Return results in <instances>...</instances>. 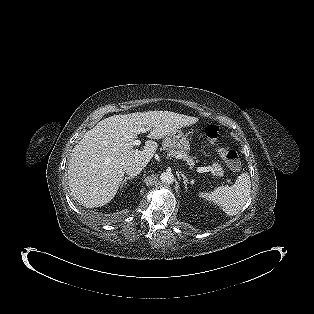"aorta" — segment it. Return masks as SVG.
I'll list each match as a JSON object with an SVG mask.
<instances>
[{
    "label": "aorta",
    "mask_w": 314,
    "mask_h": 314,
    "mask_svg": "<svg viewBox=\"0 0 314 314\" xmlns=\"http://www.w3.org/2000/svg\"><path fill=\"white\" fill-rule=\"evenodd\" d=\"M160 179H161L162 183H164V184H171L174 181V175L172 172H168V171L163 172L160 175Z\"/></svg>",
    "instance_id": "762f6f07"
}]
</instances>
